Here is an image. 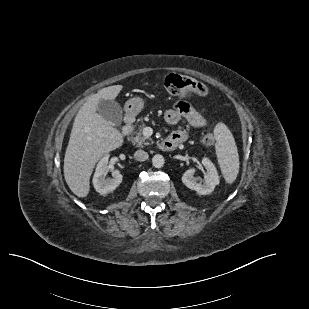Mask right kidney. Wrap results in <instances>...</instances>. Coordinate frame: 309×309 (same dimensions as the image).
Instances as JSON below:
<instances>
[{
    "label": "right kidney",
    "mask_w": 309,
    "mask_h": 309,
    "mask_svg": "<svg viewBox=\"0 0 309 309\" xmlns=\"http://www.w3.org/2000/svg\"><path fill=\"white\" fill-rule=\"evenodd\" d=\"M108 170V156H104L97 164L93 177L94 188L101 195L114 191L122 182L123 176L119 170L112 171V178H105Z\"/></svg>",
    "instance_id": "obj_1"
}]
</instances>
